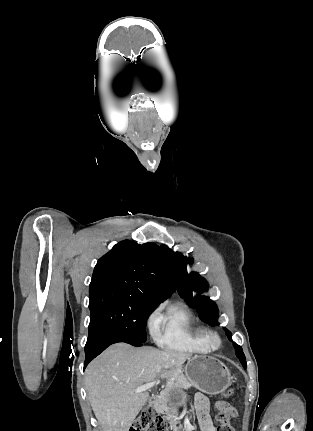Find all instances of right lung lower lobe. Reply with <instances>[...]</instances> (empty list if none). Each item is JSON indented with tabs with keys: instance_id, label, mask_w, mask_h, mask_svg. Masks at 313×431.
<instances>
[{
	"instance_id": "obj_1",
	"label": "right lung lower lobe",
	"mask_w": 313,
	"mask_h": 431,
	"mask_svg": "<svg viewBox=\"0 0 313 431\" xmlns=\"http://www.w3.org/2000/svg\"><path fill=\"white\" fill-rule=\"evenodd\" d=\"M118 342H125L133 346H141L142 342H138L124 334L112 332V331H101L94 336L88 337L85 345V363L84 368L88 363L104 351L108 346Z\"/></svg>"
}]
</instances>
